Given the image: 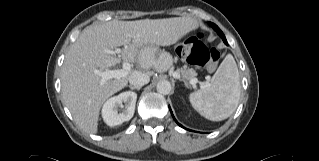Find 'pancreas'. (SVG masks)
I'll return each mask as SVG.
<instances>
[{
	"label": "pancreas",
	"instance_id": "obj_1",
	"mask_svg": "<svg viewBox=\"0 0 319 161\" xmlns=\"http://www.w3.org/2000/svg\"><path fill=\"white\" fill-rule=\"evenodd\" d=\"M177 72L181 74L182 78L185 80L194 79L196 76V72L193 69L187 68L186 66L181 69H177Z\"/></svg>",
	"mask_w": 319,
	"mask_h": 161
}]
</instances>
